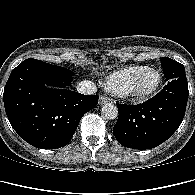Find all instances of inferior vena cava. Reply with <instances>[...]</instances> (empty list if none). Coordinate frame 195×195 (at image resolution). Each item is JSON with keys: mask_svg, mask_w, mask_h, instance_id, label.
I'll use <instances>...</instances> for the list:
<instances>
[{"mask_svg": "<svg viewBox=\"0 0 195 195\" xmlns=\"http://www.w3.org/2000/svg\"><path fill=\"white\" fill-rule=\"evenodd\" d=\"M76 88L77 91L81 94H95L97 91L96 85L89 80L79 82Z\"/></svg>", "mask_w": 195, "mask_h": 195, "instance_id": "obj_1", "label": "inferior vena cava"}]
</instances>
